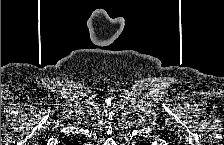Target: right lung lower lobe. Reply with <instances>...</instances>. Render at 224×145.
<instances>
[{
	"label": "right lung lower lobe",
	"instance_id": "right-lung-lower-lobe-1",
	"mask_svg": "<svg viewBox=\"0 0 224 145\" xmlns=\"http://www.w3.org/2000/svg\"><path fill=\"white\" fill-rule=\"evenodd\" d=\"M76 143V144H75ZM75 145H78V142H74Z\"/></svg>",
	"mask_w": 224,
	"mask_h": 145
}]
</instances>
